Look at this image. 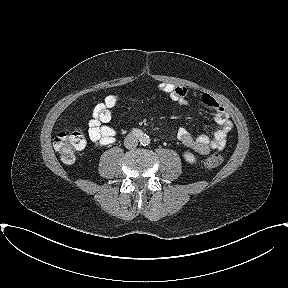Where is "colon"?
<instances>
[{
	"mask_svg": "<svg viewBox=\"0 0 288 288\" xmlns=\"http://www.w3.org/2000/svg\"><path fill=\"white\" fill-rule=\"evenodd\" d=\"M86 146V137L82 129H64L57 133L54 148L65 163H72L78 152ZM223 156L215 153L203 161L205 168L214 169L221 165Z\"/></svg>",
	"mask_w": 288,
	"mask_h": 288,
	"instance_id": "obj_1",
	"label": "colon"
}]
</instances>
